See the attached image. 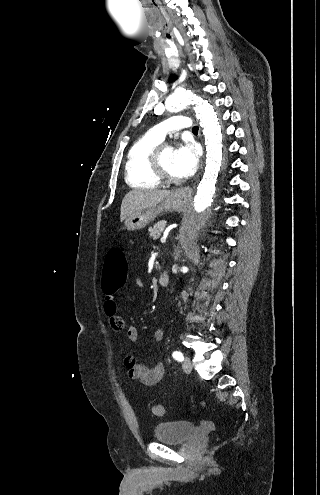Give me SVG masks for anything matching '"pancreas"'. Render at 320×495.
Masks as SVG:
<instances>
[{
    "label": "pancreas",
    "mask_w": 320,
    "mask_h": 495,
    "mask_svg": "<svg viewBox=\"0 0 320 495\" xmlns=\"http://www.w3.org/2000/svg\"><path fill=\"white\" fill-rule=\"evenodd\" d=\"M165 227H166V221L164 220L154 224L152 227L148 229V232L150 233V237L153 239L159 238L161 233L164 231Z\"/></svg>",
    "instance_id": "pancreas-1"
}]
</instances>
